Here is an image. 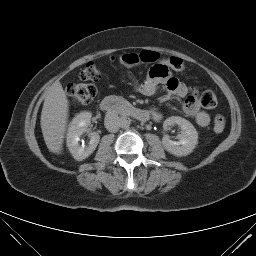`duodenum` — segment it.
<instances>
[{"mask_svg":"<svg viewBox=\"0 0 256 256\" xmlns=\"http://www.w3.org/2000/svg\"><path fill=\"white\" fill-rule=\"evenodd\" d=\"M101 110L105 112L118 113L125 116H131L139 121H147L151 115L146 110L138 108L127 101L115 96H108L100 103ZM156 118L155 116H153Z\"/></svg>","mask_w":256,"mask_h":256,"instance_id":"obj_1","label":"duodenum"}]
</instances>
